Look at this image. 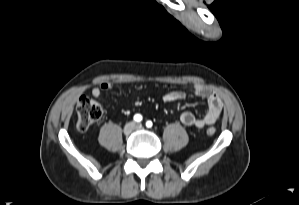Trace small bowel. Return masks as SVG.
I'll use <instances>...</instances> for the list:
<instances>
[{
	"label": "small bowel",
	"instance_id": "small-bowel-1",
	"mask_svg": "<svg viewBox=\"0 0 299 205\" xmlns=\"http://www.w3.org/2000/svg\"><path fill=\"white\" fill-rule=\"evenodd\" d=\"M120 86L117 81L102 82L99 86L93 88L92 96L99 98L103 91L116 89ZM193 94L196 97L204 98L207 101V111L203 116L197 117L189 111H185L180 116V121L183 125L188 127L203 128L208 125L215 124L221 117L223 103L220 97L211 92L206 86L202 84H195L193 87ZM186 96L183 91H170L163 96L165 102H174L184 99Z\"/></svg>",
	"mask_w": 299,
	"mask_h": 205
}]
</instances>
